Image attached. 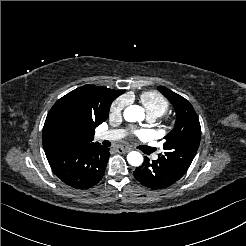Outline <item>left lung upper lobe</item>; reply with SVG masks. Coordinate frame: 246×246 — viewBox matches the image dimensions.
Segmentation results:
<instances>
[{"label": "left lung upper lobe", "instance_id": "left-lung-upper-lobe-1", "mask_svg": "<svg viewBox=\"0 0 246 246\" xmlns=\"http://www.w3.org/2000/svg\"><path fill=\"white\" fill-rule=\"evenodd\" d=\"M158 90L173 104L176 111L175 126L164 139V154H159L162 163L181 175L188 170L198 150L201 127L198 116L188 100L160 86Z\"/></svg>", "mask_w": 246, "mask_h": 246}]
</instances>
